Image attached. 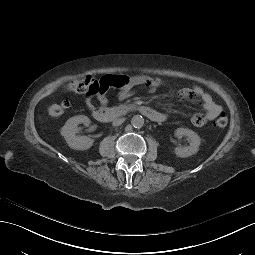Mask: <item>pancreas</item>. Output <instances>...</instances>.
I'll list each match as a JSON object with an SVG mask.
<instances>
[{
	"label": "pancreas",
	"instance_id": "1",
	"mask_svg": "<svg viewBox=\"0 0 255 255\" xmlns=\"http://www.w3.org/2000/svg\"><path fill=\"white\" fill-rule=\"evenodd\" d=\"M125 106H127V104H125V105L120 104L118 106H114V110H115V112H120L125 109Z\"/></svg>",
	"mask_w": 255,
	"mask_h": 255
}]
</instances>
